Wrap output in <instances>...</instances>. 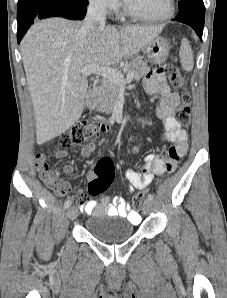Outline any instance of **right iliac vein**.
<instances>
[{
    "instance_id": "obj_1",
    "label": "right iliac vein",
    "mask_w": 227,
    "mask_h": 298,
    "mask_svg": "<svg viewBox=\"0 0 227 298\" xmlns=\"http://www.w3.org/2000/svg\"><path fill=\"white\" fill-rule=\"evenodd\" d=\"M78 212H79L78 209L73 206V207L68 209L67 216L70 220H74V219L77 218Z\"/></svg>"
}]
</instances>
